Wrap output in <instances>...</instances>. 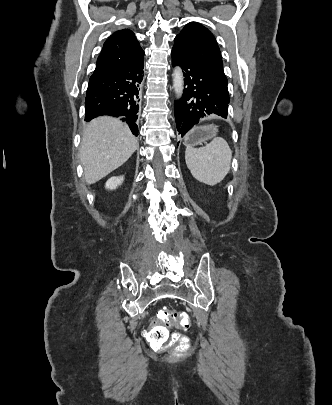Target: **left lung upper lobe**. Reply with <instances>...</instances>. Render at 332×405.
Wrapping results in <instances>:
<instances>
[{"mask_svg": "<svg viewBox=\"0 0 332 405\" xmlns=\"http://www.w3.org/2000/svg\"><path fill=\"white\" fill-rule=\"evenodd\" d=\"M173 48L208 68L228 92L221 52L213 34L207 28L197 22L188 23L175 37Z\"/></svg>", "mask_w": 332, "mask_h": 405, "instance_id": "left-lung-upper-lobe-1", "label": "left lung upper lobe"}]
</instances>
